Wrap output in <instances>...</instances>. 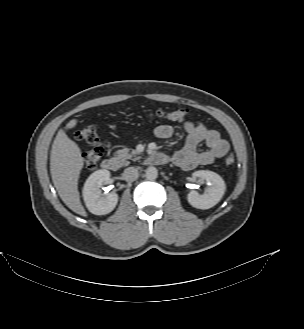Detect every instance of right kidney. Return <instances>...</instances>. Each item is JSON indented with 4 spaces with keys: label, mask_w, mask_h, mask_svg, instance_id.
<instances>
[{
    "label": "right kidney",
    "mask_w": 304,
    "mask_h": 329,
    "mask_svg": "<svg viewBox=\"0 0 304 329\" xmlns=\"http://www.w3.org/2000/svg\"><path fill=\"white\" fill-rule=\"evenodd\" d=\"M110 172L106 169L97 170L86 180L83 187V198L88 210L95 215L110 213L117 205L118 195L114 192L102 196L101 187L109 183Z\"/></svg>",
    "instance_id": "obj_1"
}]
</instances>
